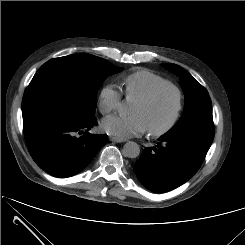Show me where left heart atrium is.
Wrapping results in <instances>:
<instances>
[{"label":"left heart atrium","instance_id":"left-heart-atrium-1","mask_svg":"<svg viewBox=\"0 0 245 245\" xmlns=\"http://www.w3.org/2000/svg\"><path fill=\"white\" fill-rule=\"evenodd\" d=\"M102 127L109 134L120 137H129L148 130L144 119L136 113L106 118Z\"/></svg>","mask_w":245,"mask_h":245}]
</instances>
